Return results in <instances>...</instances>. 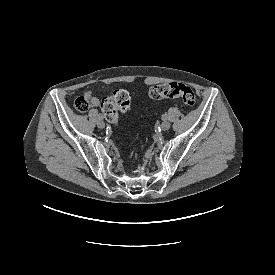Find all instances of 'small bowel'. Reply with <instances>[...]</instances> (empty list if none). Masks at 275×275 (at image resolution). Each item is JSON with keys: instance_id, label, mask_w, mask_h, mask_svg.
I'll return each instance as SVG.
<instances>
[{"instance_id": "obj_1", "label": "small bowel", "mask_w": 275, "mask_h": 275, "mask_svg": "<svg viewBox=\"0 0 275 275\" xmlns=\"http://www.w3.org/2000/svg\"><path fill=\"white\" fill-rule=\"evenodd\" d=\"M86 96L90 99L91 104L93 106L98 107L100 105L99 99H97L96 97H94L91 92H87Z\"/></svg>"}]
</instances>
